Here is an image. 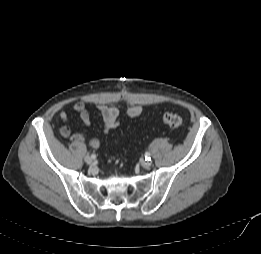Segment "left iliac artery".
<instances>
[{"instance_id":"obj_1","label":"left iliac artery","mask_w":261,"mask_h":254,"mask_svg":"<svg viewBox=\"0 0 261 254\" xmlns=\"http://www.w3.org/2000/svg\"><path fill=\"white\" fill-rule=\"evenodd\" d=\"M150 155H151V154H150L149 152H146V153H145V160H146V161H151Z\"/></svg>"}]
</instances>
